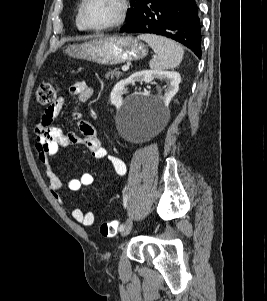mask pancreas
<instances>
[{
	"label": "pancreas",
	"mask_w": 267,
	"mask_h": 301,
	"mask_svg": "<svg viewBox=\"0 0 267 301\" xmlns=\"http://www.w3.org/2000/svg\"><path fill=\"white\" fill-rule=\"evenodd\" d=\"M121 75V72L118 69L110 70L106 73V78L111 77L112 79L119 78Z\"/></svg>",
	"instance_id": "1"
}]
</instances>
